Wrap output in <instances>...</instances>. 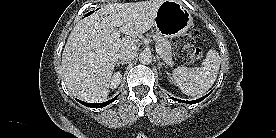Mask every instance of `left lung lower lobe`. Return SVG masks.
I'll use <instances>...</instances> for the list:
<instances>
[{"label": "left lung lower lobe", "instance_id": "0a47b994", "mask_svg": "<svg viewBox=\"0 0 276 138\" xmlns=\"http://www.w3.org/2000/svg\"><path fill=\"white\" fill-rule=\"evenodd\" d=\"M209 94H210V93H209ZM209 94H207V95H205L204 97H201V98H199V99L193 100V101H184V100H180V102H184V103H187V104H195V103H198V102L202 101L203 99H205ZM172 99L175 100V101H178L176 98H173V97H172Z\"/></svg>", "mask_w": 276, "mask_h": 138}]
</instances>
